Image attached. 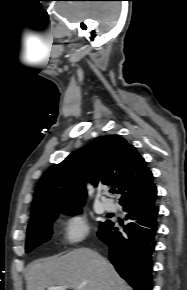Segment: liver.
<instances>
[{
    "instance_id": "liver-1",
    "label": "liver",
    "mask_w": 187,
    "mask_h": 290,
    "mask_svg": "<svg viewBox=\"0 0 187 290\" xmlns=\"http://www.w3.org/2000/svg\"><path fill=\"white\" fill-rule=\"evenodd\" d=\"M25 278L27 290L56 286L74 290H132L112 264L89 248L33 262L27 267Z\"/></svg>"
}]
</instances>
